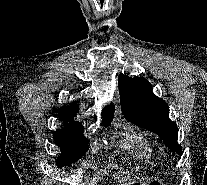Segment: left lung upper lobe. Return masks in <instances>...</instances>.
<instances>
[{"label":"left lung upper lobe","instance_id":"1","mask_svg":"<svg viewBox=\"0 0 207 185\" xmlns=\"http://www.w3.org/2000/svg\"><path fill=\"white\" fill-rule=\"evenodd\" d=\"M118 82L124 116L135 125L156 133L167 147L182 154V147L177 143V125L169 119V107L152 93L150 83L145 78L123 74L119 75Z\"/></svg>","mask_w":207,"mask_h":185}]
</instances>
